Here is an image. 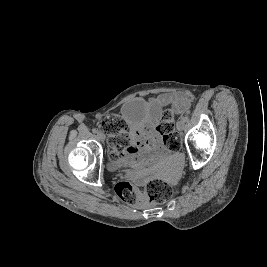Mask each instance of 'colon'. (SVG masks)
I'll return each instance as SVG.
<instances>
[{"label": "colon", "instance_id": "colon-1", "mask_svg": "<svg viewBox=\"0 0 267 267\" xmlns=\"http://www.w3.org/2000/svg\"><path fill=\"white\" fill-rule=\"evenodd\" d=\"M100 129L107 135L108 157L111 161H119L125 156L129 147V135L126 122L116 114H109L99 123ZM155 132L159 134L168 150L177 151L181 147V140L176 131V112L167 109L162 112L156 123ZM148 196L152 201L164 203L172 196V188L160 180H152L147 185ZM116 193L126 203H135L140 191L130 181H121L116 185Z\"/></svg>", "mask_w": 267, "mask_h": 267}]
</instances>
